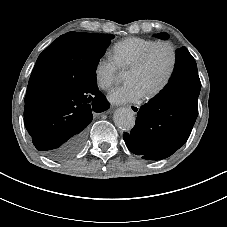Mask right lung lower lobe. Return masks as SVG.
<instances>
[{
	"mask_svg": "<svg viewBox=\"0 0 227 227\" xmlns=\"http://www.w3.org/2000/svg\"><path fill=\"white\" fill-rule=\"evenodd\" d=\"M109 106L97 85L76 91L47 85L25 102L24 123L37 150L51 160H66L84 145L93 114Z\"/></svg>",
	"mask_w": 227,
	"mask_h": 227,
	"instance_id": "98d812e1",
	"label": "right lung lower lobe"
}]
</instances>
